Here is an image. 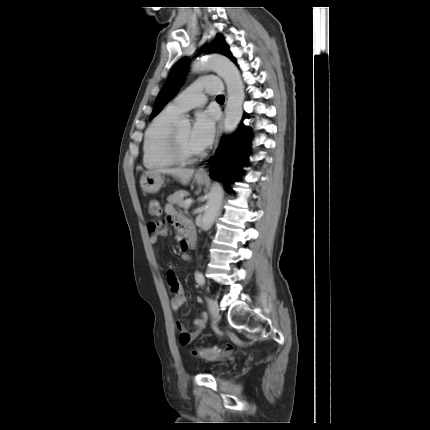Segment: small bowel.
<instances>
[{
  "instance_id": "c3829d8e",
  "label": "small bowel",
  "mask_w": 430,
  "mask_h": 430,
  "mask_svg": "<svg viewBox=\"0 0 430 430\" xmlns=\"http://www.w3.org/2000/svg\"><path fill=\"white\" fill-rule=\"evenodd\" d=\"M164 211L166 213V222L171 223L176 227V229L186 236L189 233H193L191 223L184 218L181 214H179L173 205L166 204L164 207ZM165 221H151L148 224V232H149V240L152 245H156L159 241L160 237L166 235L165 229ZM182 250L185 251L184 243H181ZM184 260H189V257L184 254ZM168 284L173 293L171 299V308L174 311H178L181 307H183L187 303V296L184 293V290L177 280L175 275L170 272L168 275ZM200 302L201 299L199 298ZM207 322V315L202 313L199 317L194 320L195 328L192 331H188L184 324L181 321H177V329L179 330V343L182 346H189L193 343V341L201 334L204 330Z\"/></svg>"
}]
</instances>
